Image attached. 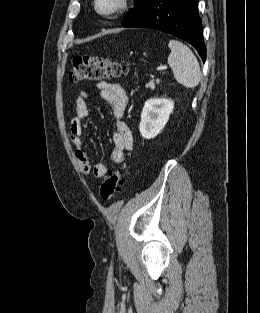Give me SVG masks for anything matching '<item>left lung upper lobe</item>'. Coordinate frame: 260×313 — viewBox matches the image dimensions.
<instances>
[{
    "label": "left lung upper lobe",
    "mask_w": 260,
    "mask_h": 313,
    "mask_svg": "<svg viewBox=\"0 0 260 313\" xmlns=\"http://www.w3.org/2000/svg\"><path fill=\"white\" fill-rule=\"evenodd\" d=\"M151 0H134L135 6L131 12H128L124 18V24L130 22L134 17H136L149 3Z\"/></svg>",
    "instance_id": "obj_1"
}]
</instances>
